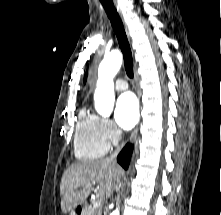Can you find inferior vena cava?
<instances>
[{"mask_svg":"<svg viewBox=\"0 0 221 215\" xmlns=\"http://www.w3.org/2000/svg\"><path fill=\"white\" fill-rule=\"evenodd\" d=\"M119 152H120V147H118L117 150L109 158H107V160L113 161L117 157Z\"/></svg>","mask_w":221,"mask_h":215,"instance_id":"obj_1","label":"inferior vena cava"}]
</instances>
